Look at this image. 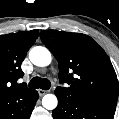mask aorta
<instances>
[{"label":"aorta","mask_w":119,"mask_h":119,"mask_svg":"<svg viewBox=\"0 0 119 119\" xmlns=\"http://www.w3.org/2000/svg\"><path fill=\"white\" fill-rule=\"evenodd\" d=\"M31 62L40 67L48 66L51 63L52 57L50 51L42 46L33 47L29 52ZM58 100L53 94H46L42 99V105L48 110H53L57 107Z\"/></svg>","instance_id":"762f6f07"}]
</instances>
